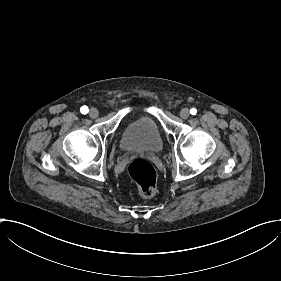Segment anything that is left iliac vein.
I'll return each instance as SVG.
<instances>
[{"mask_svg": "<svg viewBox=\"0 0 281 281\" xmlns=\"http://www.w3.org/2000/svg\"><path fill=\"white\" fill-rule=\"evenodd\" d=\"M180 114H181L182 118L187 119L190 116V111L187 108H183V109H181Z\"/></svg>", "mask_w": 281, "mask_h": 281, "instance_id": "4c4485c4", "label": "left iliac vein"}]
</instances>
